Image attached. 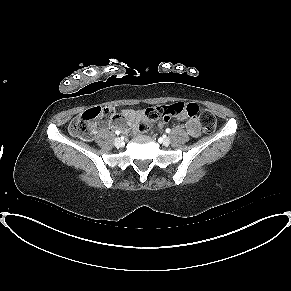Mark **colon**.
Segmentation results:
<instances>
[{"mask_svg":"<svg viewBox=\"0 0 291 291\" xmlns=\"http://www.w3.org/2000/svg\"><path fill=\"white\" fill-rule=\"evenodd\" d=\"M197 114H199L200 124L205 132L210 133L216 128V118L210 111L199 109L196 104L176 103L152 108L148 113V120L140 123L139 132H147L150 129V121L161 123L167 121L170 117H194ZM119 116L120 114L113 107H91L71 121L69 131L74 136L90 140L98 127L99 121H111Z\"/></svg>","mask_w":291,"mask_h":291,"instance_id":"obj_1","label":"colon"}]
</instances>
